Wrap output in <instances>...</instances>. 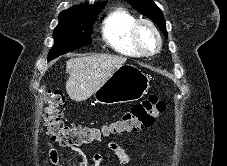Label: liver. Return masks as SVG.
Returning <instances> with one entry per match:
<instances>
[{"label": "liver", "mask_w": 227, "mask_h": 166, "mask_svg": "<svg viewBox=\"0 0 227 166\" xmlns=\"http://www.w3.org/2000/svg\"><path fill=\"white\" fill-rule=\"evenodd\" d=\"M126 57L108 54H95L71 58L66 62L69 78L66 91L70 99L85 101L122 65Z\"/></svg>", "instance_id": "obj_1"}]
</instances>
